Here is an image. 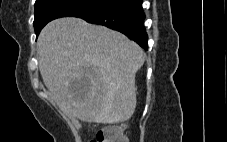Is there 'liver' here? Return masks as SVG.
I'll return each instance as SVG.
<instances>
[{
	"label": "liver",
	"instance_id": "1",
	"mask_svg": "<svg viewBox=\"0 0 227 142\" xmlns=\"http://www.w3.org/2000/svg\"><path fill=\"white\" fill-rule=\"evenodd\" d=\"M37 55L48 92L68 115L103 124L133 115L135 75L144 52L125 35L79 18H60L40 32Z\"/></svg>",
	"mask_w": 227,
	"mask_h": 142
}]
</instances>
